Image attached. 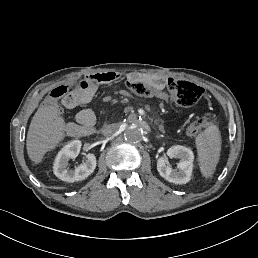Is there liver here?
Masks as SVG:
<instances>
[{
    "label": "liver",
    "mask_w": 258,
    "mask_h": 258,
    "mask_svg": "<svg viewBox=\"0 0 258 258\" xmlns=\"http://www.w3.org/2000/svg\"><path fill=\"white\" fill-rule=\"evenodd\" d=\"M64 121L58 107H40L33 116L27 134V152L32 161L39 163L46 151L54 148L63 138Z\"/></svg>",
    "instance_id": "1"
}]
</instances>
